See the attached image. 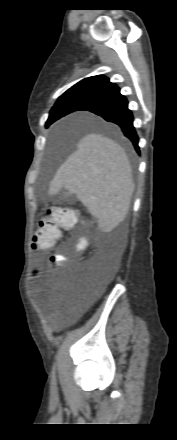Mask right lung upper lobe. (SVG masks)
<instances>
[{"instance_id":"right-lung-upper-lobe-1","label":"right lung upper lobe","mask_w":177,"mask_h":440,"mask_svg":"<svg viewBox=\"0 0 177 440\" xmlns=\"http://www.w3.org/2000/svg\"><path fill=\"white\" fill-rule=\"evenodd\" d=\"M119 91V88L114 83H111L108 78L98 75L81 80L68 89L65 93H76L91 97L94 99V101H99ZM57 119L59 118L50 114L47 125L53 123Z\"/></svg>"}]
</instances>
